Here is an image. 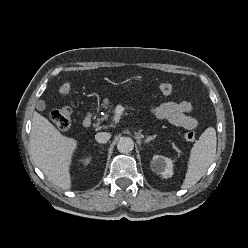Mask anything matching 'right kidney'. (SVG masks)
Segmentation results:
<instances>
[{"label": "right kidney", "mask_w": 248, "mask_h": 248, "mask_svg": "<svg viewBox=\"0 0 248 248\" xmlns=\"http://www.w3.org/2000/svg\"><path fill=\"white\" fill-rule=\"evenodd\" d=\"M90 161H91V158H90V157H87V158H85V159L83 160V164H84L85 166H87V165L90 163Z\"/></svg>", "instance_id": "right-kidney-1"}]
</instances>
